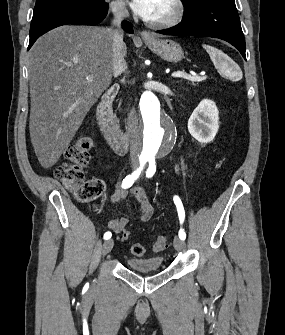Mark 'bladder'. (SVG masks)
<instances>
[{"label": "bladder", "mask_w": 285, "mask_h": 335, "mask_svg": "<svg viewBox=\"0 0 285 335\" xmlns=\"http://www.w3.org/2000/svg\"><path fill=\"white\" fill-rule=\"evenodd\" d=\"M163 255L155 254L147 257H127V265H132V272H158V265H162Z\"/></svg>", "instance_id": "1"}]
</instances>
